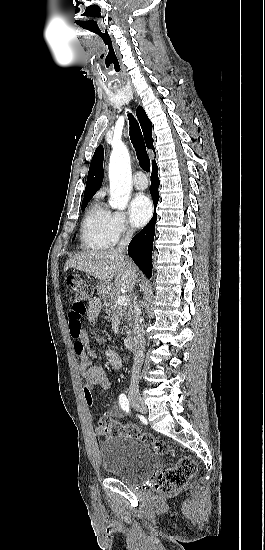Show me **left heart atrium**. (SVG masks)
Wrapping results in <instances>:
<instances>
[{"instance_id": "left-heart-atrium-1", "label": "left heart atrium", "mask_w": 265, "mask_h": 550, "mask_svg": "<svg viewBox=\"0 0 265 550\" xmlns=\"http://www.w3.org/2000/svg\"><path fill=\"white\" fill-rule=\"evenodd\" d=\"M152 210V203L147 195H135L129 206V215L132 224L136 227L145 225L152 215Z\"/></svg>"}]
</instances>
